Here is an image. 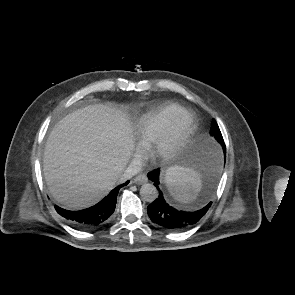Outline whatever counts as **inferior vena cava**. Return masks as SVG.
Segmentation results:
<instances>
[{"mask_svg": "<svg viewBox=\"0 0 295 295\" xmlns=\"http://www.w3.org/2000/svg\"><path fill=\"white\" fill-rule=\"evenodd\" d=\"M142 170V165L139 161L133 160L122 174V179H130Z\"/></svg>", "mask_w": 295, "mask_h": 295, "instance_id": "602c4592", "label": "inferior vena cava"}]
</instances>
